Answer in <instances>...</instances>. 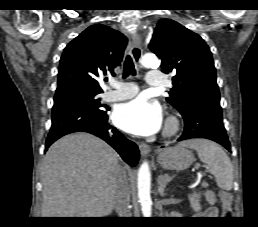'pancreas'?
I'll return each mask as SVG.
<instances>
[{
	"label": "pancreas",
	"mask_w": 258,
	"mask_h": 227,
	"mask_svg": "<svg viewBox=\"0 0 258 227\" xmlns=\"http://www.w3.org/2000/svg\"><path fill=\"white\" fill-rule=\"evenodd\" d=\"M202 186H206V184H205V183H202Z\"/></svg>",
	"instance_id": "pancreas-1"
}]
</instances>
